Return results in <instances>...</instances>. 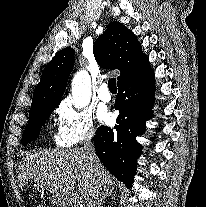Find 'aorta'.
Listing matches in <instances>:
<instances>
[{
	"instance_id": "762f6f07",
	"label": "aorta",
	"mask_w": 206,
	"mask_h": 207,
	"mask_svg": "<svg viewBox=\"0 0 206 207\" xmlns=\"http://www.w3.org/2000/svg\"><path fill=\"white\" fill-rule=\"evenodd\" d=\"M72 103L76 108L85 107L91 99V82L86 72L77 73L72 81Z\"/></svg>"
}]
</instances>
